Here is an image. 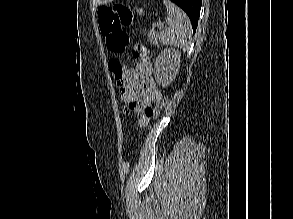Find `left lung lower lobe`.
I'll return each mask as SVG.
<instances>
[{
    "mask_svg": "<svg viewBox=\"0 0 293 219\" xmlns=\"http://www.w3.org/2000/svg\"><path fill=\"white\" fill-rule=\"evenodd\" d=\"M181 7L191 20L193 32L196 31L202 0H171Z\"/></svg>",
    "mask_w": 293,
    "mask_h": 219,
    "instance_id": "1",
    "label": "left lung lower lobe"
}]
</instances>
